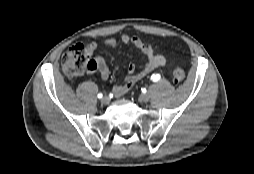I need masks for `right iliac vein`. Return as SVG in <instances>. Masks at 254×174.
<instances>
[{
	"label": "right iliac vein",
	"mask_w": 254,
	"mask_h": 174,
	"mask_svg": "<svg viewBox=\"0 0 254 174\" xmlns=\"http://www.w3.org/2000/svg\"><path fill=\"white\" fill-rule=\"evenodd\" d=\"M110 99L108 96H103L102 99H101V103L103 105H107L109 103Z\"/></svg>",
	"instance_id": "right-iliac-vein-1"
}]
</instances>
